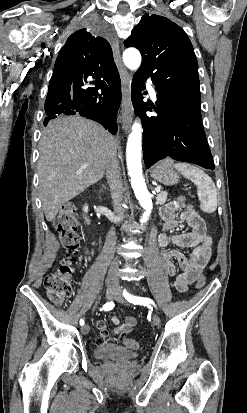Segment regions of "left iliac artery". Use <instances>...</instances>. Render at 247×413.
<instances>
[{
  "label": "left iliac artery",
  "mask_w": 247,
  "mask_h": 413,
  "mask_svg": "<svg viewBox=\"0 0 247 413\" xmlns=\"http://www.w3.org/2000/svg\"><path fill=\"white\" fill-rule=\"evenodd\" d=\"M123 296L127 301L133 304L137 305H143V306H149L150 304L155 306V303L152 299L149 298H144V297H137L129 294L125 289L123 291Z\"/></svg>",
  "instance_id": "44dca946"
}]
</instances>
